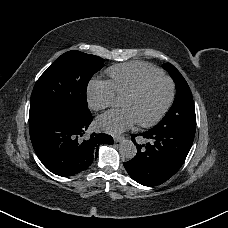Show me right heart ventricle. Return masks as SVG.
Here are the masks:
<instances>
[{
	"mask_svg": "<svg viewBox=\"0 0 228 228\" xmlns=\"http://www.w3.org/2000/svg\"><path fill=\"white\" fill-rule=\"evenodd\" d=\"M109 75L115 92L124 97L135 91L145 80L161 76L162 72L153 66L129 63L112 67Z\"/></svg>",
	"mask_w": 228,
	"mask_h": 228,
	"instance_id": "1",
	"label": "right heart ventricle"
}]
</instances>
